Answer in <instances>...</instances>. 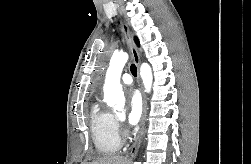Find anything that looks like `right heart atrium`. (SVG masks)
I'll use <instances>...</instances> for the list:
<instances>
[{"label": "right heart atrium", "instance_id": "d8ad5b80", "mask_svg": "<svg viewBox=\"0 0 251 164\" xmlns=\"http://www.w3.org/2000/svg\"><path fill=\"white\" fill-rule=\"evenodd\" d=\"M116 127H117L118 132H120V131H121V125H120V123L117 122V121H116Z\"/></svg>", "mask_w": 251, "mask_h": 164}]
</instances>
